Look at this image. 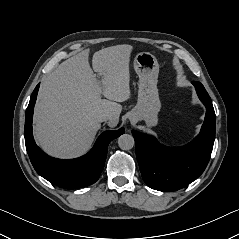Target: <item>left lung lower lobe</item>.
<instances>
[{
  "instance_id": "0a47b994",
  "label": "left lung lower lobe",
  "mask_w": 239,
  "mask_h": 239,
  "mask_svg": "<svg viewBox=\"0 0 239 239\" xmlns=\"http://www.w3.org/2000/svg\"><path fill=\"white\" fill-rule=\"evenodd\" d=\"M192 84L206 107L199 135L182 147H165L154 137L133 130L136 157L144 182L152 189L171 192L193 182L205 170L213 149L216 116L204 86Z\"/></svg>"
}]
</instances>
